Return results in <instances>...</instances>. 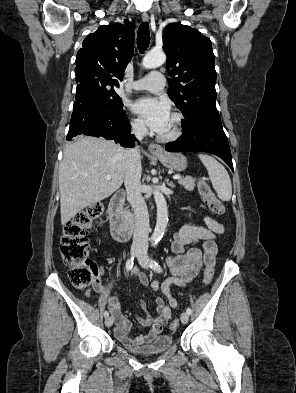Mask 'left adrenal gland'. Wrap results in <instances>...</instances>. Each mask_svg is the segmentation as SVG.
I'll list each match as a JSON object with an SVG mask.
<instances>
[{
    "label": "left adrenal gland",
    "instance_id": "a2214340",
    "mask_svg": "<svg viewBox=\"0 0 296 393\" xmlns=\"http://www.w3.org/2000/svg\"><path fill=\"white\" fill-rule=\"evenodd\" d=\"M168 181H169V180H168V179H166V183L168 184V186H169V187H171V188H174V187H175V185H174L173 183H171V182L169 183Z\"/></svg>",
    "mask_w": 296,
    "mask_h": 393
}]
</instances>
